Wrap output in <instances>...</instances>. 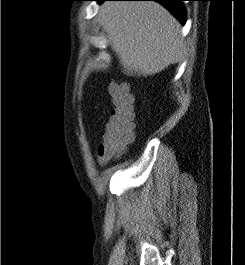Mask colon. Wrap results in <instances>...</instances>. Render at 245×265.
Here are the masks:
<instances>
[{
	"mask_svg": "<svg viewBox=\"0 0 245 265\" xmlns=\"http://www.w3.org/2000/svg\"><path fill=\"white\" fill-rule=\"evenodd\" d=\"M108 90L114 107L98 148V156L104 161L120 156L134 139L133 97L127 85L113 80Z\"/></svg>",
	"mask_w": 245,
	"mask_h": 265,
	"instance_id": "5ec220e1",
	"label": "colon"
}]
</instances>
